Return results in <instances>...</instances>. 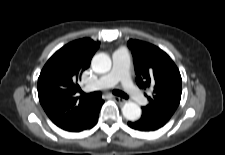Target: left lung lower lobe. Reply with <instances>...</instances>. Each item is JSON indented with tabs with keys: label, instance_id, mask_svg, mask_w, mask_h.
I'll list each match as a JSON object with an SVG mask.
<instances>
[{
	"label": "left lung lower lobe",
	"instance_id": "0a47b994",
	"mask_svg": "<svg viewBox=\"0 0 225 155\" xmlns=\"http://www.w3.org/2000/svg\"><path fill=\"white\" fill-rule=\"evenodd\" d=\"M171 116L163 113L142 112L139 120L128 122V126L139 131H155L164 126Z\"/></svg>",
	"mask_w": 225,
	"mask_h": 155
}]
</instances>
